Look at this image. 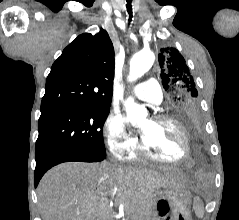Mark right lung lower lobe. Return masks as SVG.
<instances>
[{"label": "right lung lower lobe", "instance_id": "98d812e1", "mask_svg": "<svg viewBox=\"0 0 239 220\" xmlns=\"http://www.w3.org/2000/svg\"><path fill=\"white\" fill-rule=\"evenodd\" d=\"M105 157L106 155L71 150H58L43 154L36 158L35 187L44 173L59 163L67 161L98 162L104 160Z\"/></svg>", "mask_w": 239, "mask_h": 220}]
</instances>
